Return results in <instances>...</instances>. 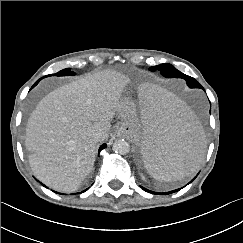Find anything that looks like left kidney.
Wrapping results in <instances>:
<instances>
[{
    "mask_svg": "<svg viewBox=\"0 0 243 243\" xmlns=\"http://www.w3.org/2000/svg\"><path fill=\"white\" fill-rule=\"evenodd\" d=\"M142 180L146 181V178L143 174H141Z\"/></svg>",
    "mask_w": 243,
    "mask_h": 243,
    "instance_id": "5707ae66",
    "label": "left kidney"
}]
</instances>
